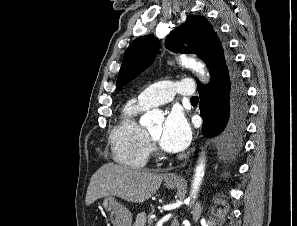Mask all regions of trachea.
<instances>
[{
	"label": "trachea",
	"instance_id": "3493384b",
	"mask_svg": "<svg viewBox=\"0 0 297 226\" xmlns=\"http://www.w3.org/2000/svg\"><path fill=\"white\" fill-rule=\"evenodd\" d=\"M198 97L197 96H193L192 98H191V102H198Z\"/></svg>",
	"mask_w": 297,
	"mask_h": 226
}]
</instances>
